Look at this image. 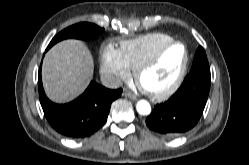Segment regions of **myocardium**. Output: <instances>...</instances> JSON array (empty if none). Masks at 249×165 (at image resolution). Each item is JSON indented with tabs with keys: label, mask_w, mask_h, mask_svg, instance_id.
<instances>
[{
	"label": "myocardium",
	"mask_w": 249,
	"mask_h": 165,
	"mask_svg": "<svg viewBox=\"0 0 249 165\" xmlns=\"http://www.w3.org/2000/svg\"><path fill=\"white\" fill-rule=\"evenodd\" d=\"M177 45L183 47L184 59L174 81L168 87L162 90H151V89L144 88L140 83L142 74L145 71L149 70L154 65H156L159 62V60L163 57V55L167 52V50ZM188 64H189V50H188L187 45L181 41L173 40L169 42L168 44L162 46L152 57L146 59L141 64H139L138 67L134 70V77L138 85L144 90L146 94H148L150 97L154 99L161 100L172 95L180 87L185 77Z\"/></svg>",
	"instance_id": "f54148a6"
}]
</instances>
